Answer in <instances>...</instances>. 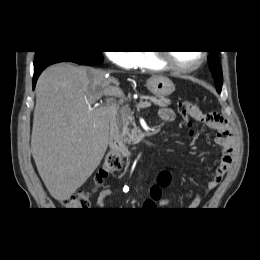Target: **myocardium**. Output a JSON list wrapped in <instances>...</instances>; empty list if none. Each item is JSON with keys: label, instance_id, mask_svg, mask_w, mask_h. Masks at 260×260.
Returning a JSON list of instances; mask_svg holds the SVG:
<instances>
[{"label": "myocardium", "instance_id": "1", "mask_svg": "<svg viewBox=\"0 0 260 260\" xmlns=\"http://www.w3.org/2000/svg\"><path fill=\"white\" fill-rule=\"evenodd\" d=\"M152 53L157 58V60H159L167 68H170L178 72H192L198 69L206 60V52L200 51V59L197 63L190 66H183L174 62L172 55L169 51L159 50V51H154Z\"/></svg>", "mask_w": 260, "mask_h": 260}]
</instances>
